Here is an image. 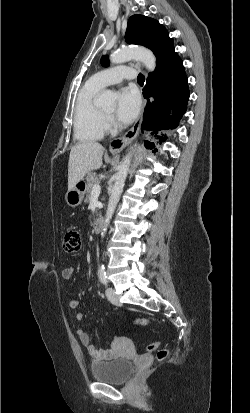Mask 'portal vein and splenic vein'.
Here are the masks:
<instances>
[{
  "mask_svg": "<svg viewBox=\"0 0 250 413\" xmlns=\"http://www.w3.org/2000/svg\"><path fill=\"white\" fill-rule=\"evenodd\" d=\"M100 191H101V186H100L99 184H96V185L93 187L92 194H99Z\"/></svg>",
  "mask_w": 250,
  "mask_h": 413,
  "instance_id": "obj_1",
  "label": "portal vein and splenic vein"
}]
</instances>
